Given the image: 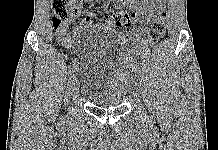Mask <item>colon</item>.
<instances>
[{
	"mask_svg": "<svg viewBox=\"0 0 218 150\" xmlns=\"http://www.w3.org/2000/svg\"><path fill=\"white\" fill-rule=\"evenodd\" d=\"M73 0H53V26L58 29L63 20L70 14ZM124 16L117 12L111 16L107 21L109 29L116 35L117 39L121 41L129 40L133 37V31L123 29L116 32V28L123 25ZM166 30V12H161L158 17L152 22L147 34V42L149 45L155 44L165 33Z\"/></svg>",
	"mask_w": 218,
	"mask_h": 150,
	"instance_id": "1",
	"label": "colon"
}]
</instances>
